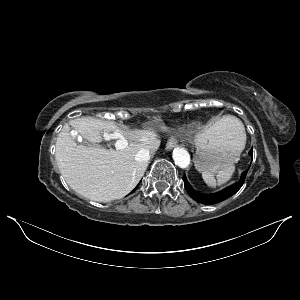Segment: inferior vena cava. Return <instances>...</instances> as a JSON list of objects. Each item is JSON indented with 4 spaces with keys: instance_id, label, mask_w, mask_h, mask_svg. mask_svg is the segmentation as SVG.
I'll return each mask as SVG.
<instances>
[{
    "instance_id": "602c4592",
    "label": "inferior vena cava",
    "mask_w": 300,
    "mask_h": 300,
    "mask_svg": "<svg viewBox=\"0 0 300 300\" xmlns=\"http://www.w3.org/2000/svg\"><path fill=\"white\" fill-rule=\"evenodd\" d=\"M160 146V140H156L154 144V151H156ZM150 158V150L149 149H141L135 155V160L137 162H148Z\"/></svg>"
}]
</instances>
